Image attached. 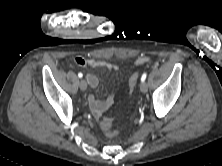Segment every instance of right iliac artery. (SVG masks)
I'll use <instances>...</instances> for the list:
<instances>
[{"label": "right iliac artery", "mask_w": 222, "mask_h": 166, "mask_svg": "<svg viewBox=\"0 0 222 166\" xmlns=\"http://www.w3.org/2000/svg\"><path fill=\"white\" fill-rule=\"evenodd\" d=\"M78 77H79V78H82V77H83V74H82V73H78Z\"/></svg>", "instance_id": "right-iliac-artery-1"}]
</instances>
